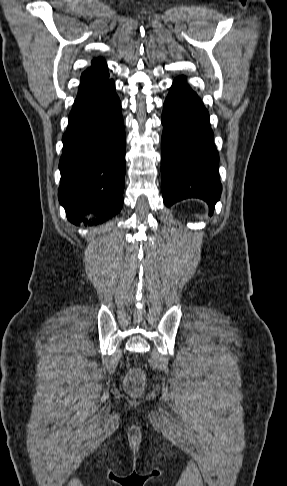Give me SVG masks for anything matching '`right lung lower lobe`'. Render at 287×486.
<instances>
[{"mask_svg":"<svg viewBox=\"0 0 287 486\" xmlns=\"http://www.w3.org/2000/svg\"><path fill=\"white\" fill-rule=\"evenodd\" d=\"M59 163L60 204L79 224L96 212V223L116 215L123 205L125 133L115 83L106 79L79 88L62 138Z\"/></svg>","mask_w":287,"mask_h":486,"instance_id":"98d812e1","label":"right lung lower lobe"}]
</instances>
